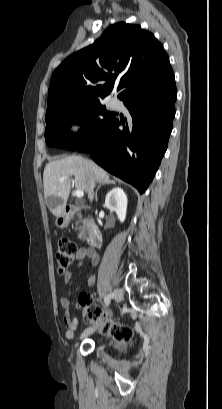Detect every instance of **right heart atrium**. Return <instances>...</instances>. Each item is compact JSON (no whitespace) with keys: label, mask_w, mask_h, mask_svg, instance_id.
Wrapping results in <instances>:
<instances>
[{"label":"right heart atrium","mask_w":222,"mask_h":409,"mask_svg":"<svg viewBox=\"0 0 222 409\" xmlns=\"http://www.w3.org/2000/svg\"><path fill=\"white\" fill-rule=\"evenodd\" d=\"M83 127V124L80 121H74L71 125H70V130L72 132H78L79 130H81Z\"/></svg>","instance_id":"right-heart-atrium-1"}]
</instances>
